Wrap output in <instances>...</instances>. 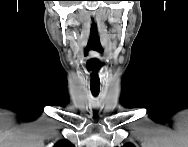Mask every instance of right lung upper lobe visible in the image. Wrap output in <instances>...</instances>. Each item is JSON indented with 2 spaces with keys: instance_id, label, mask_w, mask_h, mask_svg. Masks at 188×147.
Here are the masks:
<instances>
[{
  "instance_id": "1",
  "label": "right lung upper lobe",
  "mask_w": 188,
  "mask_h": 147,
  "mask_svg": "<svg viewBox=\"0 0 188 147\" xmlns=\"http://www.w3.org/2000/svg\"><path fill=\"white\" fill-rule=\"evenodd\" d=\"M54 147H72V144L67 141H59Z\"/></svg>"
}]
</instances>
